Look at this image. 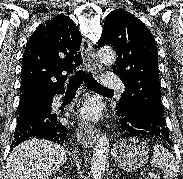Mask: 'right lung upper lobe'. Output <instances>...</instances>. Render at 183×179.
Segmentation results:
<instances>
[{
  "instance_id": "right-lung-upper-lobe-1",
  "label": "right lung upper lobe",
  "mask_w": 183,
  "mask_h": 179,
  "mask_svg": "<svg viewBox=\"0 0 183 179\" xmlns=\"http://www.w3.org/2000/svg\"><path fill=\"white\" fill-rule=\"evenodd\" d=\"M81 33L74 22L58 15L31 35L22 61L21 97L42 90H64L67 75L81 64Z\"/></svg>"
}]
</instances>
